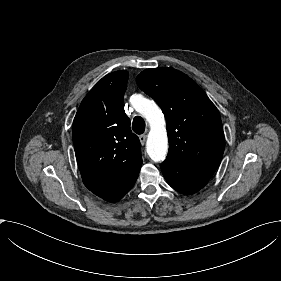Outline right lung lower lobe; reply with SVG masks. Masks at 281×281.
I'll use <instances>...</instances> for the list:
<instances>
[{
  "label": "right lung lower lobe",
  "instance_id": "98d812e1",
  "mask_svg": "<svg viewBox=\"0 0 281 281\" xmlns=\"http://www.w3.org/2000/svg\"><path fill=\"white\" fill-rule=\"evenodd\" d=\"M142 165V164H141ZM141 165L135 168V170L129 175V177L120 184L112 193L102 198L108 202H116L124 197V195L129 192L133 187L138 177Z\"/></svg>",
  "mask_w": 281,
  "mask_h": 281
}]
</instances>
